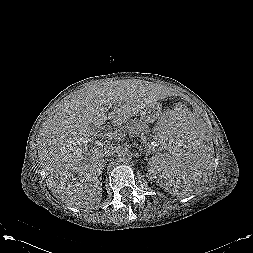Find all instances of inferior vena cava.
<instances>
[{"instance_id":"obj_1","label":"inferior vena cava","mask_w":253,"mask_h":253,"mask_svg":"<svg viewBox=\"0 0 253 253\" xmlns=\"http://www.w3.org/2000/svg\"><path fill=\"white\" fill-rule=\"evenodd\" d=\"M117 150V147L114 146V145H106V147L103 148V155L105 157H109V156H112Z\"/></svg>"}]
</instances>
